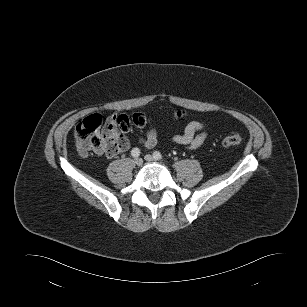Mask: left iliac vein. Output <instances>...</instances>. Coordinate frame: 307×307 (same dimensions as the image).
<instances>
[{
  "label": "left iliac vein",
  "instance_id": "obj_1",
  "mask_svg": "<svg viewBox=\"0 0 307 307\" xmlns=\"http://www.w3.org/2000/svg\"><path fill=\"white\" fill-rule=\"evenodd\" d=\"M145 160L148 161V162H154V161H156V159H155L154 156H152V155H146V156H145Z\"/></svg>",
  "mask_w": 307,
  "mask_h": 307
}]
</instances>
